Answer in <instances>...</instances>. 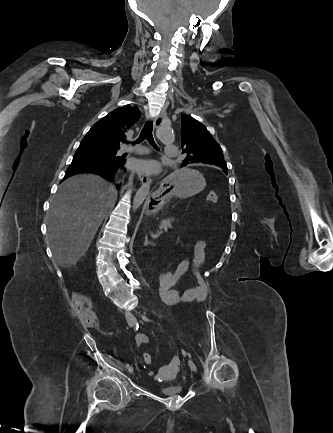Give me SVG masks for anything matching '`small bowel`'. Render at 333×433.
Here are the masks:
<instances>
[{"mask_svg":"<svg viewBox=\"0 0 333 433\" xmlns=\"http://www.w3.org/2000/svg\"><path fill=\"white\" fill-rule=\"evenodd\" d=\"M206 247L207 243L204 240L197 241L194 245V266L196 269H200L206 261ZM190 267V260L188 258L182 259L177 265L176 269L173 271V279L171 280V285L164 287L165 293H167V298H162V300L167 304L177 305L179 303H189L196 301L202 303L207 299L209 293V287L201 274L197 275V284L185 289L182 293H179L175 286L177 285L179 279L183 274L187 272ZM160 290V288H159ZM160 295L162 293L160 292ZM169 299V302H166ZM150 341L148 335L145 333H138L135 336L134 342L137 347L142 344H146Z\"/></svg>","mask_w":333,"mask_h":433,"instance_id":"1","label":"small bowel"}]
</instances>
